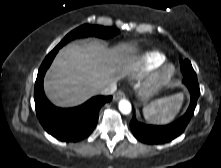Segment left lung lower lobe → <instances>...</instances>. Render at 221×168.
I'll return each mask as SVG.
<instances>
[{
  "mask_svg": "<svg viewBox=\"0 0 221 168\" xmlns=\"http://www.w3.org/2000/svg\"><path fill=\"white\" fill-rule=\"evenodd\" d=\"M183 83L190 91L191 101L186 113L178 120L164 126L148 125L136 120L135 114L130 122V128L134 136L146 144H163L172 141L183 133L188 125L200 95L197 76L184 77Z\"/></svg>",
  "mask_w": 221,
  "mask_h": 168,
  "instance_id": "1",
  "label": "left lung lower lobe"
}]
</instances>
